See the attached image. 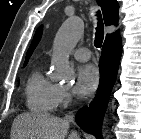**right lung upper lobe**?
<instances>
[{
    "label": "right lung upper lobe",
    "mask_w": 141,
    "mask_h": 139,
    "mask_svg": "<svg viewBox=\"0 0 141 139\" xmlns=\"http://www.w3.org/2000/svg\"><path fill=\"white\" fill-rule=\"evenodd\" d=\"M97 3L102 9L104 22L106 26L109 25H117L118 22V10L119 5L116 0H97ZM119 32L116 31V33H112L111 35H107L106 38H109L111 36L118 35ZM42 35V27H39L35 33L34 39L30 45V48L28 49L26 60L24 65L27 64L30 56L32 55L34 49L36 48L37 44L40 41Z\"/></svg>",
    "instance_id": "1"
}]
</instances>
